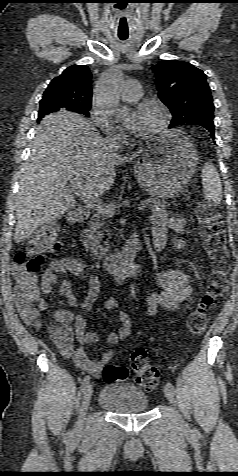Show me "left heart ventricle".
Here are the masks:
<instances>
[{
	"mask_svg": "<svg viewBox=\"0 0 238 476\" xmlns=\"http://www.w3.org/2000/svg\"><path fill=\"white\" fill-rule=\"evenodd\" d=\"M139 112L141 113V121L136 134L145 136L159 124L160 114L152 107L141 108Z\"/></svg>",
	"mask_w": 238,
	"mask_h": 476,
	"instance_id": "1",
	"label": "left heart ventricle"
}]
</instances>
